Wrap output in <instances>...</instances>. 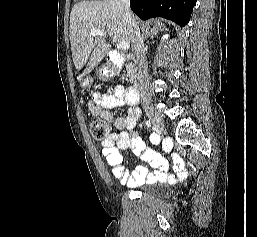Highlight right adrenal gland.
Segmentation results:
<instances>
[{"mask_svg": "<svg viewBox=\"0 0 257 237\" xmlns=\"http://www.w3.org/2000/svg\"><path fill=\"white\" fill-rule=\"evenodd\" d=\"M160 31H161V32H162V31H167V29H162V30H160ZM157 33H159L158 30H156V29H151L150 35L153 37V36L156 35Z\"/></svg>", "mask_w": 257, "mask_h": 237, "instance_id": "right-adrenal-gland-1", "label": "right adrenal gland"}]
</instances>
